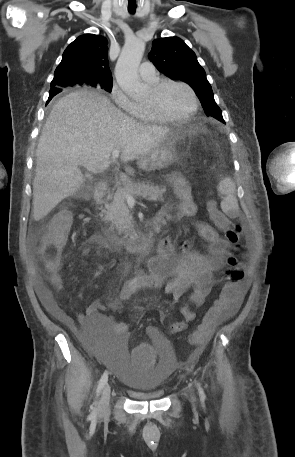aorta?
<instances>
[{
  "instance_id": "aorta-1",
  "label": "aorta",
  "mask_w": 295,
  "mask_h": 457,
  "mask_svg": "<svg viewBox=\"0 0 295 457\" xmlns=\"http://www.w3.org/2000/svg\"><path fill=\"white\" fill-rule=\"evenodd\" d=\"M145 50V43L137 38L126 41L115 67V76L121 89L129 96L139 99L146 88L138 76V67Z\"/></svg>"
}]
</instances>
